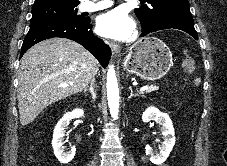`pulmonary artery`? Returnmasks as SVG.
I'll return each instance as SVG.
<instances>
[{
  "label": "pulmonary artery",
  "mask_w": 227,
  "mask_h": 166,
  "mask_svg": "<svg viewBox=\"0 0 227 166\" xmlns=\"http://www.w3.org/2000/svg\"><path fill=\"white\" fill-rule=\"evenodd\" d=\"M112 5L111 0L85 1L80 5L82 11H98Z\"/></svg>",
  "instance_id": "obj_1"
}]
</instances>
